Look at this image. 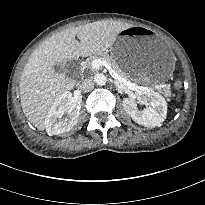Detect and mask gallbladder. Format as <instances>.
<instances>
[{
    "label": "gallbladder",
    "instance_id": "1",
    "mask_svg": "<svg viewBox=\"0 0 205 205\" xmlns=\"http://www.w3.org/2000/svg\"><path fill=\"white\" fill-rule=\"evenodd\" d=\"M53 69H54L57 73H65V74H66L67 76H69V77H72V76H73L71 69H70L68 66L63 67V66L61 65V63L55 65V66L53 67Z\"/></svg>",
    "mask_w": 205,
    "mask_h": 205
}]
</instances>
